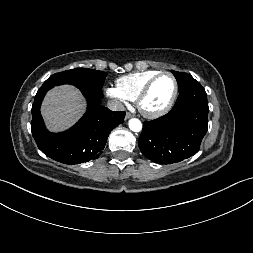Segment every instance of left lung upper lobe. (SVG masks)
Instances as JSON below:
<instances>
[{"label": "left lung upper lobe", "instance_id": "1", "mask_svg": "<svg viewBox=\"0 0 253 253\" xmlns=\"http://www.w3.org/2000/svg\"><path fill=\"white\" fill-rule=\"evenodd\" d=\"M171 71L178 82L179 92L188 89L192 83L196 82V80L190 74L173 70Z\"/></svg>", "mask_w": 253, "mask_h": 253}]
</instances>
